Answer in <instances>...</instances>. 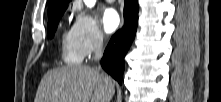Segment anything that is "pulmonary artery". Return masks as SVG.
<instances>
[{
	"instance_id": "pulmonary-artery-1",
	"label": "pulmonary artery",
	"mask_w": 221,
	"mask_h": 102,
	"mask_svg": "<svg viewBox=\"0 0 221 102\" xmlns=\"http://www.w3.org/2000/svg\"><path fill=\"white\" fill-rule=\"evenodd\" d=\"M107 2H109V3H112V2H114L115 0H106Z\"/></svg>"
}]
</instances>
